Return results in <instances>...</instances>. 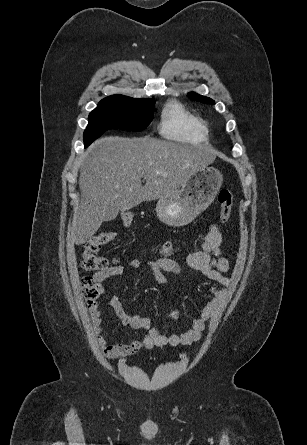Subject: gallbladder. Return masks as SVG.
Here are the masks:
<instances>
[{
    "mask_svg": "<svg viewBox=\"0 0 307 445\" xmlns=\"http://www.w3.org/2000/svg\"><path fill=\"white\" fill-rule=\"evenodd\" d=\"M106 215H105V220L108 223L113 222L114 218L117 217V212L113 211V207L112 206H107L106 207Z\"/></svg>",
    "mask_w": 307,
    "mask_h": 445,
    "instance_id": "obj_1",
    "label": "gallbladder"
}]
</instances>
